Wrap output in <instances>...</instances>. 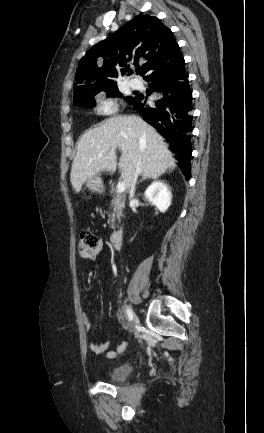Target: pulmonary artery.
I'll list each match as a JSON object with an SVG mask.
<instances>
[{"instance_id": "pulmonary-artery-1", "label": "pulmonary artery", "mask_w": 264, "mask_h": 433, "mask_svg": "<svg viewBox=\"0 0 264 433\" xmlns=\"http://www.w3.org/2000/svg\"><path fill=\"white\" fill-rule=\"evenodd\" d=\"M129 85L133 88V89H141L142 88V82L140 80L137 79H131L129 81Z\"/></svg>"}]
</instances>
